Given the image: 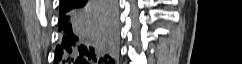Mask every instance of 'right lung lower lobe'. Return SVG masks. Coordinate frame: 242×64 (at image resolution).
I'll return each mask as SVG.
<instances>
[{
    "label": "right lung lower lobe",
    "mask_w": 242,
    "mask_h": 64,
    "mask_svg": "<svg viewBox=\"0 0 242 64\" xmlns=\"http://www.w3.org/2000/svg\"><path fill=\"white\" fill-rule=\"evenodd\" d=\"M116 0H63L54 64H111L117 44Z\"/></svg>",
    "instance_id": "1"
}]
</instances>
